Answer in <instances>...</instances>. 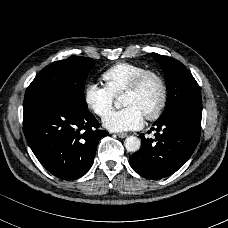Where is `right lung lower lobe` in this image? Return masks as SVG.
<instances>
[{"label":"right lung lower lobe","mask_w":228,"mask_h":228,"mask_svg":"<svg viewBox=\"0 0 228 228\" xmlns=\"http://www.w3.org/2000/svg\"><path fill=\"white\" fill-rule=\"evenodd\" d=\"M77 104L56 96L24 99L23 129L40 163L54 176L75 180L92 166L99 140L108 134Z\"/></svg>","instance_id":"right-lung-lower-lobe-1"}]
</instances>
